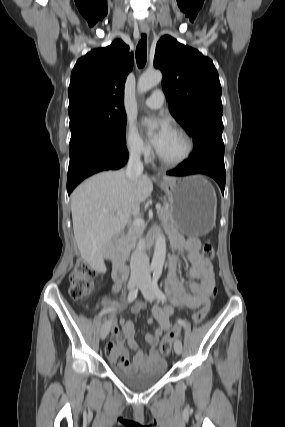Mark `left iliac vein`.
Here are the masks:
<instances>
[{
    "instance_id": "obj_1",
    "label": "left iliac vein",
    "mask_w": 285,
    "mask_h": 427,
    "mask_svg": "<svg viewBox=\"0 0 285 427\" xmlns=\"http://www.w3.org/2000/svg\"><path fill=\"white\" fill-rule=\"evenodd\" d=\"M139 287L147 301L152 302L155 299V291L150 276L146 275L139 284ZM182 349V342L181 340L177 339L174 343V350L176 354L180 355L182 353Z\"/></svg>"
}]
</instances>
